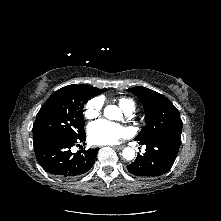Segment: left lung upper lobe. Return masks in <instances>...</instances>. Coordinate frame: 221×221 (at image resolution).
I'll return each mask as SVG.
<instances>
[{
	"label": "left lung upper lobe",
	"mask_w": 221,
	"mask_h": 221,
	"mask_svg": "<svg viewBox=\"0 0 221 221\" xmlns=\"http://www.w3.org/2000/svg\"><path fill=\"white\" fill-rule=\"evenodd\" d=\"M128 91L139 98L145 111L146 125L135 138L136 141H144L162 134L181 136L183 123L178 110L169 99L140 86L130 88Z\"/></svg>",
	"instance_id": "5c2ea615"
}]
</instances>
